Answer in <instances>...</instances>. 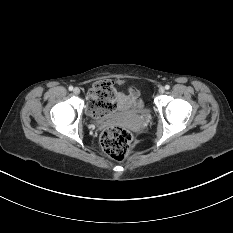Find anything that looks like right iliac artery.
I'll return each instance as SVG.
<instances>
[{
  "label": "right iliac artery",
  "mask_w": 233,
  "mask_h": 233,
  "mask_svg": "<svg viewBox=\"0 0 233 233\" xmlns=\"http://www.w3.org/2000/svg\"><path fill=\"white\" fill-rule=\"evenodd\" d=\"M70 91H72L73 90V86H69V88H68Z\"/></svg>",
  "instance_id": "1"
}]
</instances>
